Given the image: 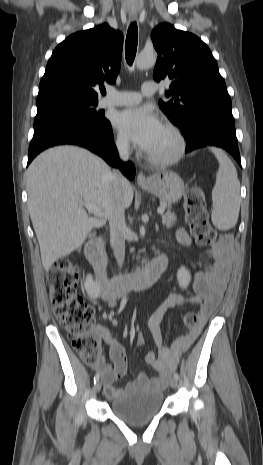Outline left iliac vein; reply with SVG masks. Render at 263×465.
I'll return each instance as SVG.
<instances>
[{
    "label": "left iliac vein",
    "mask_w": 263,
    "mask_h": 465,
    "mask_svg": "<svg viewBox=\"0 0 263 465\" xmlns=\"http://www.w3.org/2000/svg\"><path fill=\"white\" fill-rule=\"evenodd\" d=\"M170 386H171L172 388H174V389L177 388V386H178V380H177L176 378H172V379L170 380Z\"/></svg>",
    "instance_id": "1"
}]
</instances>
